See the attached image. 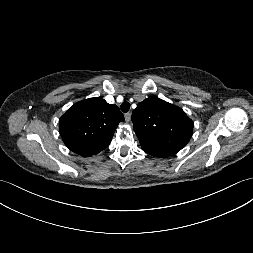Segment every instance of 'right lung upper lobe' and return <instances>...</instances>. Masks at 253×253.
I'll use <instances>...</instances> for the list:
<instances>
[{"label": "right lung upper lobe", "instance_id": "obj_1", "mask_svg": "<svg viewBox=\"0 0 253 253\" xmlns=\"http://www.w3.org/2000/svg\"><path fill=\"white\" fill-rule=\"evenodd\" d=\"M123 114L103 98L77 102L59 119L60 135L74 153L90 156L104 150L111 142Z\"/></svg>", "mask_w": 253, "mask_h": 253}]
</instances>
